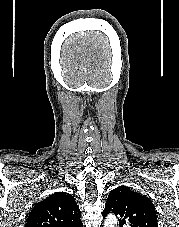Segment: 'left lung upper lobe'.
Here are the masks:
<instances>
[{
    "label": "left lung upper lobe",
    "instance_id": "left-lung-upper-lobe-1",
    "mask_svg": "<svg viewBox=\"0 0 179 227\" xmlns=\"http://www.w3.org/2000/svg\"><path fill=\"white\" fill-rule=\"evenodd\" d=\"M109 213L118 216L120 227H158L152 201L126 186L109 193L102 215L106 217Z\"/></svg>",
    "mask_w": 179,
    "mask_h": 227
}]
</instances>
